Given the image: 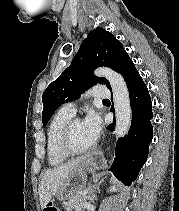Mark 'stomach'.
<instances>
[{"label": "stomach", "instance_id": "stomach-1", "mask_svg": "<svg viewBox=\"0 0 179 211\" xmlns=\"http://www.w3.org/2000/svg\"><path fill=\"white\" fill-rule=\"evenodd\" d=\"M91 165L92 159H88L82 165L73 169L55 197L59 200H66L74 193L82 190L86 186L87 182V174L85 170Z\"/></svg>", "mask_w": 179, "mask_h": 211}]
</instances>
